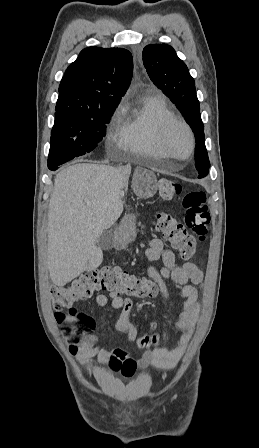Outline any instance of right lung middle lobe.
Wrapping results in <instances>:
<instances>
[{"label": "right lung middle lobe", "mask_w": 259, "mask_h": 448, "mask_svg": "<svg viewBox=\"0 0 259 448\" xmlns=\"http://www.w3.org/2000/svg\"><path fill=\"white\" fill-rule=\"evenodd\" d=\"M115 108H102L76 113H55L51 131L48 168L56 170L75 157L92 151L106 133Z\"/></svg>", "instance_id": "1"}]
</instances>
